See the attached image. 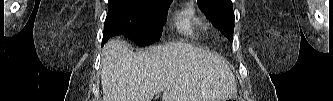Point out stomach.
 <instances>
[{
	"label": "stomach",
	"mask_w": 333,
	"mask_h": 101,
	"mask_svg": "<svg viewBox=\"0 0 333 101\" xmlns=\"http://www.w3.org/2000/svg\"><path fill=\"white\" fill-rule=\"evenodd\" d=\"M225 101H234V99L233 98H229V99H227Z\"/></svg>",
	"instance_id": "1"
}]
</instances>
